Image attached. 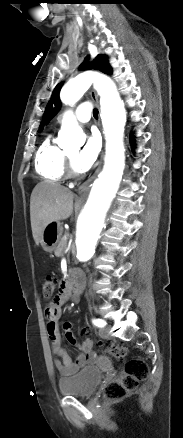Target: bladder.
Segmentation results:
<instances>
[{
    "label": "bladder",
    "instance_id": "obj_1",
    "mask_svg": "<svg viewBox=\"0 0 183 438\" xmlns=\"http://www.w3.org/2000/svg\"><path fill=\"white\" fill-rule=\"evenodd\" d=\"M102 378L103 375L98 368L86 367L71 377L60 379L59 392L68 396L90 397L95 393Z\"/></svg>",
    "mask_w": 183,
    "mask_h": 438
}]
</instances>
